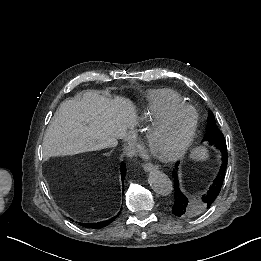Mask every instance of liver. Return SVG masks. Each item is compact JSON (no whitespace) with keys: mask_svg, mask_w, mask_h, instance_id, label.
Listing matches in <instances>:
<instances>
[{"mask_svg":"<svg viewBox=\"0 0 261 261\" xmlns=\"http://www.w3.org/2000/svg\"><path fill=\"white\" fill-rule=\"evenodd\" d=\"M137 123V109L130 99H110L87 90L60 104L46 130L44 151L73 155L115 147L117 139H125Z\"/></svg>","mask_w":261,"mask_h":261,"instance_id":"6515ba94","label":"liver"}]
</instances>
